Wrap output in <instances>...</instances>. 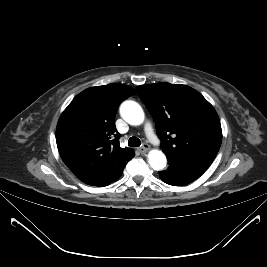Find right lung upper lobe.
Returning a JSON list of instances; mask_svg holds the SVG:
<instances>
[{
    "label": "right lung upper lobe",
    "instance_id": "cb5924a9",
    "mask_svg": "<svg viewBox=\"0 0 267 267\" xmlns=\"http://www.w3.org/2000/svg\"><path fill=\"white\" fill-rule=\"evenodd\" d=\"M135 94L132 87L108 84L78 94L62 113L56 128L59 153L84 183L96 186L120 171L135 153L121 148L115 127L120 103Z\"/></svg>",
    "mask_w": 267,
    "mask_h": 267
}]
</instances>
